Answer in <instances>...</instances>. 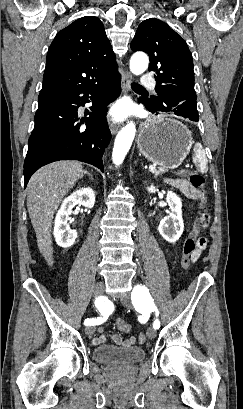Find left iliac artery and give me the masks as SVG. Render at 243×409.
Masks as SVG:
<instances>
[{
    "label": "left iliac artery",
    "mask_w": 243,
    "mask_h": 409,
    "mask_svg": "<svg viewBox=\"0 0 243 409\" xmlns=\"http://www.w3.org/2000/svg\"><path fill=\"white\" fill-rule=\"evenodd\" d=\"M146 292H148L147 288L142 287V286H136L132 292V302L133 304L136 306H139L142 304L143 305V300L142 298L146 297ZM145 306L148 307L149 309H151V311L155 312L156 317L159 316V311L156 307V305L154 304L153 300L147 299L145 301ZM153 327L154 329H158L160 327V321L158 320V318L155 319L154 323H153Z\"/></svg>",
    "instance_id": "left-iliac-artery-1"
}]
</instances>
